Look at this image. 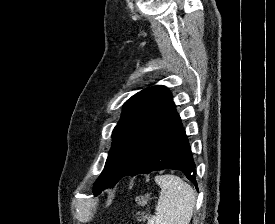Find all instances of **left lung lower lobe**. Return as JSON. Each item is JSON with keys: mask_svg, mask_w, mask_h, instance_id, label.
I'll return each instance as SVG.
<instances>
[{"mask_svg": "<svg viewBox=\"0 0 275 224\" xmlns=\"http://www.w3.org/2000/svg\"><path fill=\"white\" fill-rule=\"evenodd\" d=\"M195 168L188 138L180 116L174 109L148 137L122 177L174 169L182 171L197 188ZM121 178H107L94 191L95 195L114 186Z\"/></svg>", "mask_w": 275, "mask_h": 224, "instance_id": "1", "label": "left lung lower lobe"}]
</instances>
